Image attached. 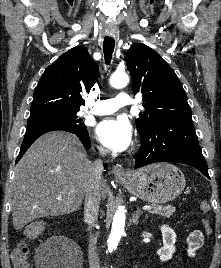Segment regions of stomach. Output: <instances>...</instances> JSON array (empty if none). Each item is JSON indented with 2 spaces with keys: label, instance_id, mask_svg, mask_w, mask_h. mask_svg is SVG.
I'll use <instances>...</instances> for the list:
<instances>
[{
  "label": "stomach",
  "instance_id": "stomach-1",
  "mask_svg": "<svg viewBox=\"0 0 221 268\" xmlns=\"http://www.w3.org/2000/svg\"><path fill=\"white\" fill-rule=\"evenodd\" d=\"M121 183L134 196L153 204L175 199L185 187V177L173 164L162 162L130 172Z\"/></svg>",
  "mask_w": 221,
  "mask_h": 268
}]
</instances>
